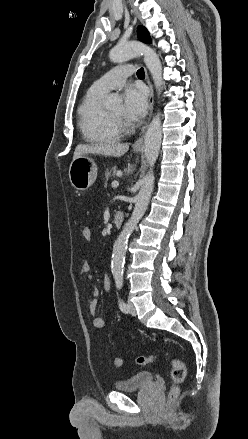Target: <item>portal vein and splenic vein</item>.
<instances>
[{
  "instance_id": "obj_1",
  "label": "portal vein and splenic vein",
  "mask_w": 248,
  "mask_h": 439,
  "mask_svg": "<svg viewBox=\"0 0 248 439\" xmlns=\"http://www.w3.org/2000/svg\"><path fill=\"white\" fill-rule=\"evenodd\" d=\"M119 186V182L118 181H113L112 182V187L113 188H117Z\"/></svg>"
}]
</instances>
